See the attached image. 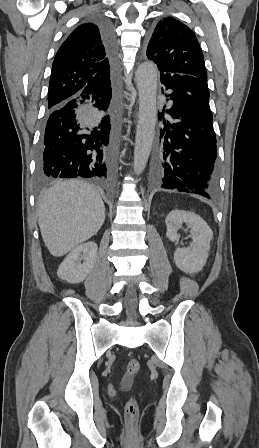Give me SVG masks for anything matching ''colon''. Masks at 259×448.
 Instances as JSON below:
<instances>
[{
	"label": "colon",
	"mask_w": 259,
	"mask_h": 448,
	"mask_svg": "<svg viewBox=\"0 0 259 448\" xmlns=\"http://www.w3.org/2000/svg\"><path fill=\"white\" fill-rule=\"evenodd\" d=\"M140 363L137 359H131L126 367L127 375L131 376L138 372ZM138 404L135 399H131L127 402L125 407V417L129 427H133L138 418Z\"/></svg>",
	"instance_id": "obj_1"
}]
</instances>
